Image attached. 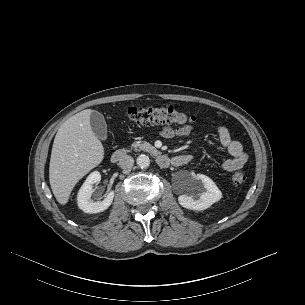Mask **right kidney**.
<instances>
[{
    "mask_svg": "<svg viewBox=\"0 0 305 305\" xmlns=\"http://www.w3.org/2000/svg\"><path fill=\"white\" fill-rule=\"evenodd\" d=\"M101 175L98 171L92 172L83 185L81 186L78 196L77 203L78 207L85 213L96 214L106 210L112 203L114 198V191L107 192L102 201H93L91 195L93 193V184L99 183Z\"/></svg>",
    "mask_w": 305,
    "mask_h": 305,
    "instance_id": "obj_1",
    "label": "right kidney"
}]
</instances>
